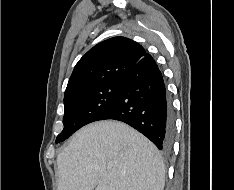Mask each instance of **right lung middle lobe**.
Instances as JSON below:
<instances>
[{
	"instance_id": "1",
	"label": "right lung middle lobe",
	"mask_w": 234,
	"mask_h": 190,
	"mask_svg": "<svg viewBox=\"0 0 234 190\" xmlns=\"http://www.w3.org/2000/svg\"><path fill=\"white\" fill-rule=\"evenodd\" d=\"M122 80L83 90L64 99L63 131L56 143L62 142L86 124L97 121L114 104Z\"/></svg>"
}]
</instances>
